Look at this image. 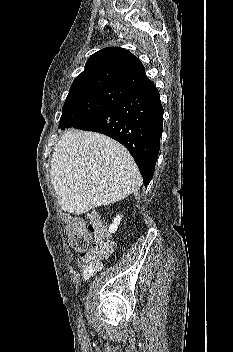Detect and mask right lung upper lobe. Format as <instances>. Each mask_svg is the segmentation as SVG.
I'll return each mask as SVG.
<instances>
[{"instance_id": "right-lung-upper-lobe-1", "label": "right lung upper lobe", "mask_w": 233, "mask_h": 352, "mask_svg": "<svg viewBox=\"0 0 233 352\" xmlns=\"http://www.w3.org/2000/svg\"><path fill=\"white\" fill-rule=\"evenodd\" d=\"M106 84L130 87L138 92L154 83L146 77L143 64L131 52L120 47H107L89 57L70 91Z\"/></svg>"}]
</instances>
